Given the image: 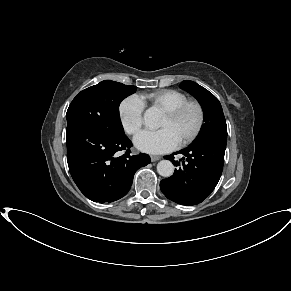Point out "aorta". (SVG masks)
<instances>
[{"instance_id":"762f6f07","label":"aorta","mask_w":291,"mask_h":291,"mask_svg":"<svg viewBox=\"0 0 291 291\" xmlns=\"http://www.w3.org/2000/svg\"><path fill=\"white\" fill-rule=\"evenodd\" d=\"M144 123L149 129H156L159 127L160 112L155 107L148 108L144 113ZM157 172L163 177H170L174 173V165L169 160H161L157 164Z\"/></svg>"}]
</instances>
